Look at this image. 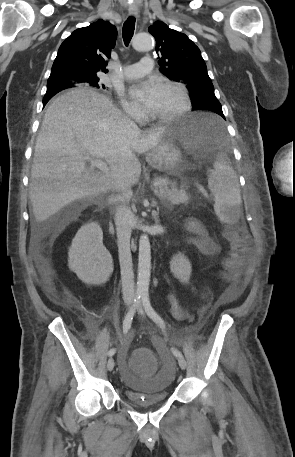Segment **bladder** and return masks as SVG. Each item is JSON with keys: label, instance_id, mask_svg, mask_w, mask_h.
I'll use <instances>...</instances> for the list:
<instances>
[{"label": "bladder", "instance_id": "bladder-1", "mask_svg": "<svg viewBox=\"0 0 295 457\" xmlns=\"http://www.w3.org/2000/svg\"><path fill=\"white\" fill-rule=\"evenodd\" d=\"M116 344L122 347L125 341L119 338ZM154 347L156 353L161 354L158 374H132L131 360H128L126 364L125 356H121L119 353L115 355V364L118 365L116 375L118 378H126L124 380V396L130 403L139 407L161 404L170 395L168 387L177 364L170 353L167 352L168 349L165 342H156ZM129 372L131 376H128Z\"/></svg>", "mask_w": 295, "mask_h": 457}]
</instances>
